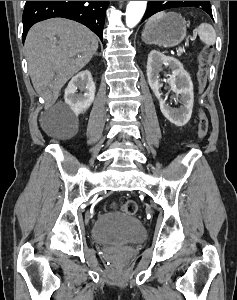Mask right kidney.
<instances>
[{
  "mask_svg": "<svg viewBox=\"0 0 237 300\" xmlns=\"http://www.w3.org/2000/svg\"><path fill=\"white\" fill-rule=\"evenodd\" d=\"M95 89L90 71H81V73L72 77L67 89H65V103L69 105L75 115H80L92 105Z\"/></svg>",
  "mask_w": 237,
  "mask_h": 300,
  "instance_id": "right-kidney-1",
  "label": "right kidney"
}]
</instances>
